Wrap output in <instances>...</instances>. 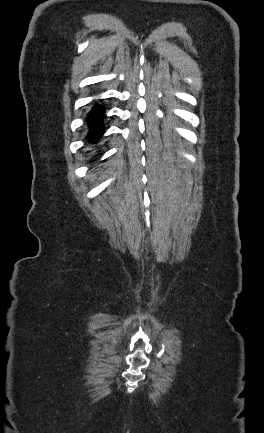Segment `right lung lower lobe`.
I'll use <instances>...</instances> for the list:
<instances>
[{
    "mask_svg": "<svg viewBox=\"0 0 264 433\" xmlns=\"http://www.w3.org/2000/svg\"><path fill=\"white\" fill-rule=\"evenodd\" d=\"M104 106L95 102L93 108L88 113L86 122L89 129L87 139L90 141L98 140L104 133V118L105 110Z\"/></svg>",
    "mask_w": 264,
    "mask_h": 433,
    "instance_id": "obj_1",
    "label": "right lung lower lobe"
}]
</instances>
